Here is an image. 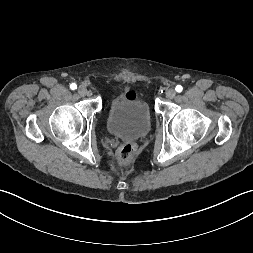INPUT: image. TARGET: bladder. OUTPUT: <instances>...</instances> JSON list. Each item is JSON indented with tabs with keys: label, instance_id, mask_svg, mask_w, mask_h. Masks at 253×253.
I'll use <instances>...</instances> for the list:
<instances>
[{
	"label": "bladder",
	"instance_id": "obj_1",
	"mask_svg": "<svg viewBox=\"0 0 253 253\" xmlns=\"http://www.w3.org/2000/svg\"><path fill=\"white\" fill-rule=\"evenodd\" d=\"M152 124L149 106L134 92H121L110 102L106 127L110 134L125 140L146 136Z\"/></svg>",
	"mask_w": 253,
	"mask_h": 253
}]
</instances>
